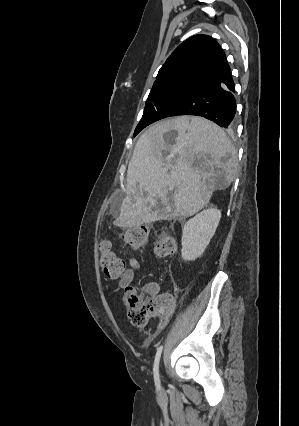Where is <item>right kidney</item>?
I'll list each match as a JSON object with an SVG mask.
<instances>
[{
  "label": "right kidney",
  "mask_w": 299,
  "mask_h": 426,
  "mask_svg": "<svg viewBox=\"0 0 299 426\" xmlns=\"http://www.w3.org/2000/svg\"><path fill=\"white\" fill-rule=\"evenodd\" d=\"M220 218V210L208 208L185 223L181 239V256L185 261H194L203 254L215 234Z\"/></svg>",
  "instance_id": "ca27d5eb"
}]
</instances>
